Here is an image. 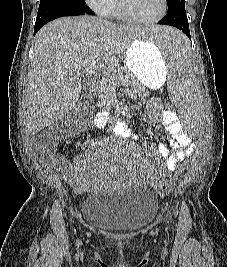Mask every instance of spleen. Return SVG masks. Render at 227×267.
<instances>
[{"instance_id":"3e777b00","label":"spleen","mask_w":227,"mask_h":267,"mask_svg":"<svg viewBox=\"0 0 227 267\" xmlns=\"http://www.w3.org/2000/svg\"><path fill=\"white\" fill-rule=\"evenodd\" d=\"M133 30H146L140 33L138 41L154 43L156 55H163L170 63L168 76L169 94L172 101L179 106L176 115H203L201 92L189 67L191 58L187 38L181 29L173 25H162V22H146V25H133ZM185 137H204L205 124L202 116H181Z\"/></svg>"}]
</instances>
